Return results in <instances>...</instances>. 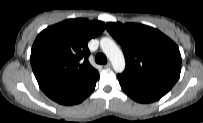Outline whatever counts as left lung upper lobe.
Here are the masks:
<instances>
[{"label": "left lung upper lobe", "mask_w": 203, "mask_h": 123, "mask_svg": "<svg viewBox=\"0 0 203 123\" xmlns=\"http://www.w3.org/2000/svg\"><path fill=\"white\" fill-rule=\"evenodd\" d=\"M121 45L126 67L122 77L170 91L181 72L178 46L159 30L137 23H107Z\"/></svg>", "instance_id": "left-lung-upper-lobe-1"}]
</instances>
